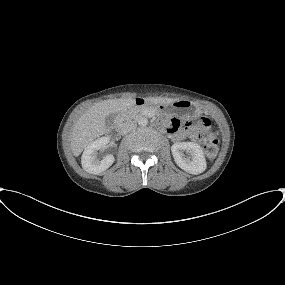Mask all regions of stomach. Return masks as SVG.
I'll use <instances>...</instances> for the list:
<instances>
[{
	"instance_id": "0dacf381",
	"label": "stomach",
	"mask_w": 285,
	"mask_h": 285,
	"mask_svg": "<svg viewBox=\"0 0 285 285\" xmlns=\"http://www.w3.org/2000/svg\"><path fill=\"white\" fill-rule=\"evenodd\" d=\"M162 114L179 115L182 117L196 118L200 114L198 106L186 99H179L170 104H153Z\"/></svg>"
}]
</instances>
